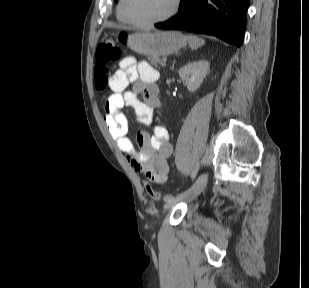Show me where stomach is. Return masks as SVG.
<instances>
[{
	"label": "stomach",
	"instance_id": "stomach-1",
	"mask_svg": "<svg viewBox=\"0 0 309 288\" xmlns=\"http://www.w3.org/2000/svg\"><path fill=\"white\" fill-rule=\"evenodd\" d=\"M186 43V37L177 31L136 32L130 34L127 40L133 51L148 57L169 55Z\"/></svg>",
	"mask_w": 309,
	"mask_h": 288
}]
</instances>
